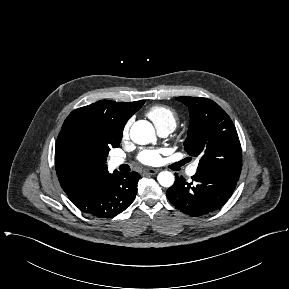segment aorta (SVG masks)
<instances>
[{"instance_id": "aorta-1", "label": "aorta", "mask_w": 289, "mask_h": 289, "mask_svg": "<svg viewBox=\"0 0 289 289\" xmlns=\"http://www.w3.org/2000/svg\"><path fill=\"white\" fill-rule=\"evenodd\" d=\"M130 137L134 143L139 145L149 144L156 139L154 127L145 120H139L132 125ZM157 180L161 186L169 188L174 184L175 178L173 173L162 171L158 174Z\"/></svg>"}]
</instances>
